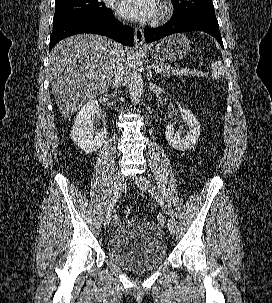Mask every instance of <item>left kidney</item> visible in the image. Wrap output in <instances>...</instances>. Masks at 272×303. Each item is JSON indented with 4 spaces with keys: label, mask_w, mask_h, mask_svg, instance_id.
Here are the masks:
<instances>
[{
    "label": "left kidney",
    "mask_w": 272,
    "mask_h": 303,
    "mask_svg": "<svg viewBox=\"0 0 272 303\" xmlns=\"http://www.w3.org/2000/svg\"><path fill=\"white\" fill-rule=\"evenodd\" d=\"M183 120L189 128V132L184 137H181L180 132L175 131L173 123H168L165 131L168 143L180 151L193 148L200 136V124L190 110L185 111Z\"/></svg>",
    "instance_id": "left-kidney-1"
}]
</instances>
